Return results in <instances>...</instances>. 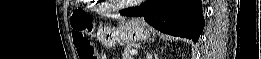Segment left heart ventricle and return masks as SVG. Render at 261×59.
I'll list each match as a JSON object with an SVG mask.
<instances>
[{"instance_id":"left-heart-ventricle-1","label":"left heart ventricle","mask_w":261,"mask_h":59,"mask_svg":"<svg viewBox=\"0 0 261 59\" xmlns=\"http://www.w3.org/2000/svg\"><path fill=\"white\" fill-rule=\"evenodd\" d=\"M124 1H119V3H123Z\"/></svg>"}]
</instances>
